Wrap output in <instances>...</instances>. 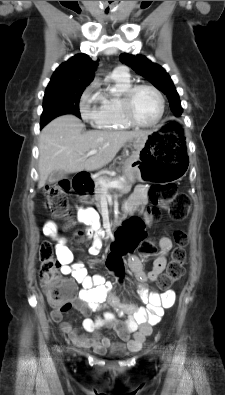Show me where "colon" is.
<instances>
[{
	"instance_id": "obj_1",
	"label": "colon",
	"mask_w": 225,
	"mask_h": 395,
	"mask_svg": "<svg viewBox=\"0 0 225 395\" xmlns=\"http://www.w3.org/2000/svg\"><path fill=\"white\" fill-rule=\"evenodd\" d=\"M70 190V182L62 180L46 186L44 192L46 207L54 215L65 217L66 227L68 228L73 226V222L68 218V194ZM148 194L152 204L167 210L173 220L185 219L190 211L191 200L189 196L179 192L175 184H154L149 188ZM116 233L113 236L116 243L111 244L106 256V265L112 272V278H119V272L124 270L121 260L123 254L132 256L133 251H138V249L140 256H152L156 253L154 242L145 236V222L142 221L141 215H130L129 221L122 223L121 228H117ZM83 237L84 234L80 230L74 233V239L77 242H82ZM174 240L176 247L171 253L166 271L157 281V287L161 290H169L183 275L187 258V234L182 230H177L174 232ZM39 259V278L49 305L62 311L68 310L69 299L73 296L74 286L59 274L60 263L50 242L45 241L41 244Z\"/></svg>"
}]
</instances>
